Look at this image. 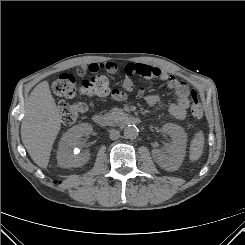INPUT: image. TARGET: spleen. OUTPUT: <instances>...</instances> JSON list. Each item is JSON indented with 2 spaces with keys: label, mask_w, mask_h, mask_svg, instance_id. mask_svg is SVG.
Segmentation results:
<instances>
[{
  "label": "spleen",
  "mask_w": 245,
  "mask_h": 245,
  "mask_svg": "<svg viewBox=\"0 0 245 245\" xmlns=\"http://www.w3.org/2000/svg\"><path fill=\"white\" fill-rule=\"evenodd\" d=\"M204 146V134L199 131L195 134L194 139L191 142L190 158L195 161L200 158Z\"/></svg>",
  "instance_id": "3e777b00"
}]
</instances>
